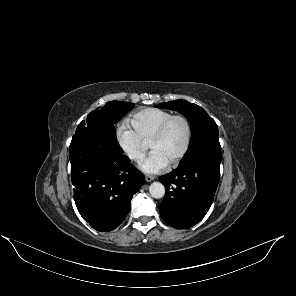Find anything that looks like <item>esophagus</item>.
Wrapping results in <instances>:
<instances>
[{
  "instance_id": "esophagus-1",
  "label": "esophagus",
  "mask_w": 296,
  "mask_h": 296,
  "mask_svg": "<svg viewBox=\"0 0 296 296\" xmlns=\"http://www.w3.org/2000/svg\"><path fill=\"white\" fill-rule=\"evenodd\" d=\"M154 179H155V177L152 176V175H145V180H146L147 182H151V181H153Z\"/></svg>"
}]
</instances>
